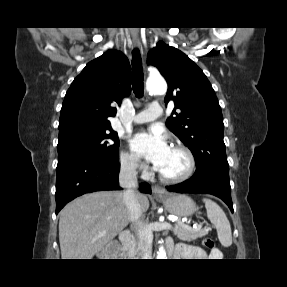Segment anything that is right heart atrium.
Here are the masks:
<instances>
[{
  "label": "right heart atrium",
  "instance_id": "right-heart-atrium-1",
  "mask_svg": "<svg viewBox=\"0 0 287 287\" xmlns=\"http://www.w3.org/2000/svg\"><path fill=\"white\" fill-rule=\"evenodd\" d=\"M120 161L122 168L128 172L131 173L142 172L143 174L147 172L145 164H143L139 160V158L132 152H129L127 150L123 151L120 156Z\"/></svg>",
  "mask_w": 287,
  "mask_h": 287
}]
</instances>
